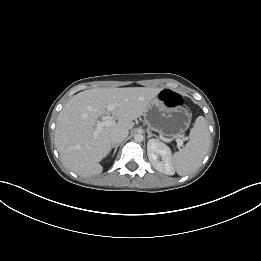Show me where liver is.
<instances>
[{"label": "liver", "mask_w": 261, "mask_h": 261, "mask_svg": "<svg viewBox=\"0 0 261 261\" xmlns=\"http://www.w3.org/2000/svg\"><path fill=\"white\" fill-rule=\"evenodd\" d=\"M160 91L147 87L96 88L73 96L60 111L55 129V146L63 164L82 177L100 174V161L111 149L110 134L132 129L133 121ZM110 104L116 105L112 112L107 110ZM109 113L118 119L117 123L104 127L94 139L97 120Z\"/></svg>", "instance_id": "liver-1"}]
</instances>
